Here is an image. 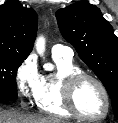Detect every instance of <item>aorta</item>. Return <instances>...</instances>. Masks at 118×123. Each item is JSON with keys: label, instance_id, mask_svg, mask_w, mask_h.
I'll list each match as a JSON object with an SVG mask.
<instances>
[{"label": "aorta", "instance_id": "aorta-1", "mask_svg": "<svg viewBox=\"0 0 118 123\" xmlns=\"http://www.w3.org/2000/svg\"><path fill=\"white\" fill-rule=\"evenodd\" d=\"M35 48H36L37 53L39 55L43 56L44 51H45V38L43 36H39L36 39ZM52 69H53L52 65H47L45 67V70H52Z\"/></svg>", "mask_w": 118, "mask_h": 123}]
</instances>
